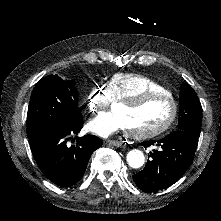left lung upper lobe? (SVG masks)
Returning <instances> with one entry per match:
<instances>
[{"mask_svg":"<svg viewBox=\"0 0 221 221\" xmlns=\"http://www.w3.org/2000/svg\"><path fill=\"white\" fill-rule=\"evenodd\" d=\"M202 124V107L194 89L188 85L181 86L180 112L178 130L199 137Z\"/></svg>","mask_w":221,"mask_h":221,"instance_id":"1","label":"left lung upper lobe"}]
</instances>
